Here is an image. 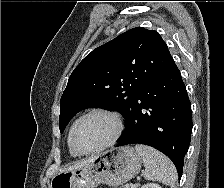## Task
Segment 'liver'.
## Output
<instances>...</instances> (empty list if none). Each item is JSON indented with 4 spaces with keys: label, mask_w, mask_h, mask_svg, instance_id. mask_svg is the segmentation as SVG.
Returning <instances> with one entry per match:
<instances>
[{
    "label": "liver",
    "mask_w": 224,
    "mask_h": 188,
    "mask_svg": "<svg viewBox=\"0 0 224 188\" xmlns=\"http://www.w3.org/2000/svg\"><path fill=\"white\" fill-rule=\"evenodd\" d=\"M95 158H96V156H91L86 159H82V160L77 161L67 167L60 169V172H67V171H72V170L81 168L83 166H86V165L92 163L95 160Z\"/></svg>",
    "instance_id": "6515ba94"
}]
</instances>
